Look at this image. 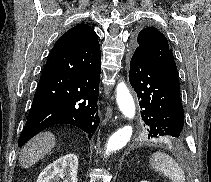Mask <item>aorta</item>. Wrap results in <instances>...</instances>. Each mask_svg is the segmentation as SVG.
<instances>
[{
  "label": "aorta",
  "mask_w": 211,
  "mask_h": 182,
  "mask_svg": "<svg viewBox=\"0 0 211 182\" xmlns=\"http://www.w3.org/2000/svg\"><path fill=\"white\" fill-rule=\"evenodd\" d=\"M116 101L123 115L128 119H133L135 116V103L123 81L118 83L116 87ZM132 132V126L127 125L113 133L106 145V154L122 149L130 141Z\"/></svg>",
  "instance_id": "762f6f07"
}]
</instances>
